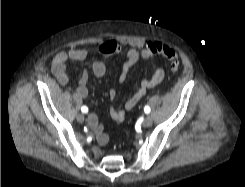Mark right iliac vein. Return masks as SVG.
Returning <instances> with one entry per match:
<instances>
[{
	"label": "right iliac vein",
	"instance_id": "right-iliac-vein-1",
	"mask_svg": "<svg viewBox=\"0 0 245 187\" xmlns=\"http://www.w3.org/2000/svg\"><path fill=\"white\" fill-rule=\"evenodd\" d=\"M84 120H85V117H84V115H83V114H79V115H77V121H78L79 123H83V122H84Z\"/></svg>",
	"mask_w": 245,
	"mask_h": 187
}]
</instances>
